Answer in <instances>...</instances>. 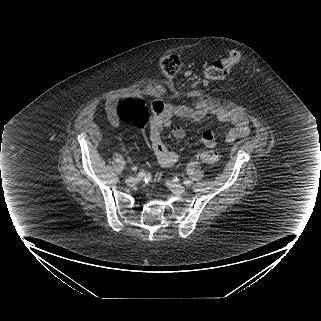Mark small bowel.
Returning a JSON list of instances; mask_svg holds the SVG:
<instances>
[{"label": "small bowel", "mask_w": 321, "mask_h": 321, "mask_svg": "<svg viewBox=\"0 0 321 321\" xmlns=\"http://www.w3.org/2000/svg\"><path fill=\"white\" fill-rule=\"evenodd\" d=\"M117 102V97H111L106 102L107 115L114 126H118L120 123L116 111ZM149 108L151 116L148 124V133L152 151L162 166H172L179 160L182 152L180 150H171L164 144L162 139L163 130L170 127L173 119L176 117L196 122L201 121L207 116V110L191 106L171 105L159 99L151 101ZM215 116L218 121L232 125V128L221 138V142L224 144H232L250 132L248 121L239 113L219 110ZM172 135L175 139L181 140L185 137V130L182 127L176 126L172 130ZM201 141L205 146L210 148L215 147L218 143L216 136L210 130L203 132Z\"/></svg>", "instance_id": "1"}]
</instances>
